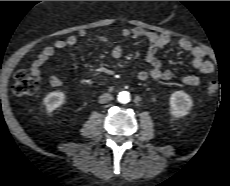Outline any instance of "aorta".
<instances>
[{
	"mask_svg": "<svg viewBox=\"0 0 230 186\" xmlns=\"http://www.w3.org/2000/svg\"><path fill=\"white\" fill-rule=\"evenodd\" d=\"M117 99L120 103L126 104V103L130 102V100H131L130 99V93L127 91H121V92H119Z\"/></svg>",
	"mask_w": 230,
	"mask_h": 186,
	"instance_id": "762f6f07",
	"label": "aorta"
}]
</instances>
